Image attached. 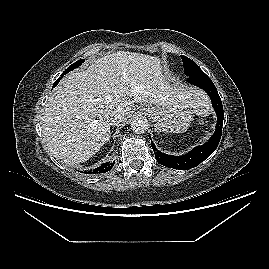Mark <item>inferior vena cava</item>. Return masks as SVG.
Wrapping results in <instances>:
<instances>
[{"label": "inferior vena cava", "instance_id": "1", "mask_svg": "<svg viewBox=\"0 0 269 269\" xmlns=\"http://www.w3.org/2000/svg\"><path fill=\"white\" fill-rule=\"evenodd\" d=\"M124 118V111L123 110H114L108 116L107 121L110 125L115 126L120 123Z\"/></svg>", "mask_w": 269, "mask_h": 269}]
</instances>
